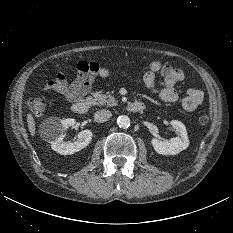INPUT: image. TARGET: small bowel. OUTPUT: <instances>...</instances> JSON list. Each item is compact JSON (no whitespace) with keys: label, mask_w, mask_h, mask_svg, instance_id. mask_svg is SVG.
Wrapping results in <instances>:
<instances>
[{"label":"small bowel","mask_w":233,"mask_h":233,"mask_svg":"<svg viewBox=\"0 0 233 233\" xmlns=\"http://www.w3.org/2000/svg\"><path fill=\"white\" fill-rule=\"evenodd\" d=\"M77 75L72 82H68L62 73L56 74L44 87V91H53L63 95L69 101L84 97L91 89L96 78H105L110 70L97 62L80 61L76 67ZM161 76L162 87L156 88V74ZM182 70L170 65H163L159 61H152L149 70L144 74L143 81L147 89L157 94L165 102H176L179 95L175 84L184 80ZM204 94L197 88H190L182 99V107L187 112L195 111L203 102Z\"/></svg>","instance_id":"c3829d8e"}]
</instances>
